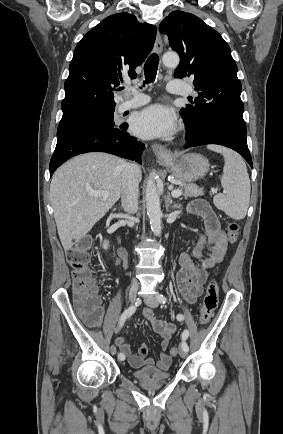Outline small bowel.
I'll use <instances>...</instances> for the list:
<instances>
[{"instance_id":"1","label":"small bowel","mask_w":283,"mask_h":434,"mask_svg":"<svg viewBox=\"0 0 283 434\" xmlns=\"http://www.w3.org/2000/svg\"><path fill=\"white\" fill-rule=\"evenodd\" d=\"M188 210L191 214L203 219L204 230L193 248L192 255L186 252L179 255L180 269L176 274V284L183 299L193 304L203 293V287L210 275V270L225 259L228 252V239L207 201L196 199L189 204ZM124 260L125 252L120 249L116 263H123ZM143 316L161 337L159 360L156 366L165 371L172 363V357L166 352V349L176 327L171 322L155 318L154 312L150 308L144 309ZM115 344L121 353L128 358L133 368L155 365L154 359L147 357L148 347L146 344H141L136 353L132 351L131 345L123 337H118Z\"/></svg>"}]
</instances>
